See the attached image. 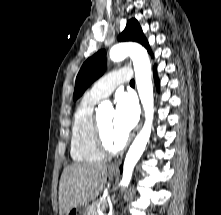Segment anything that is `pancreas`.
Returning a JSON list of instances; mask_svg holds the SVG:
<instances>
[{
	"label": "pancreas",
	"instance_id": "1",
	"mask_svg": "<svg viewBox=\"0 0 221 215\" xmlns=\"http://www.w3.org/2000/svg\"><path fill=\"white\" fill-rule=\"evenodd\" d=\"M107 207L106 200H99L94 202L89 208L87 215H98V212H104Z\"/></svg>",
	"mask_w": 221,
	"mask_h": 215
}]
</instances>
